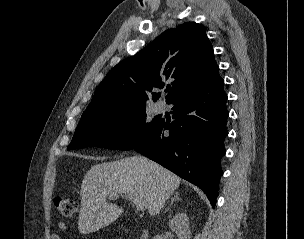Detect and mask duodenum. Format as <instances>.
Returning <instances> with one entry per match:
<instances>
[{"instance_id":"obj_1","label":"duodenum","mask_w":304,"mask_h":239,"mask_svg":"<svg viewBox=\"0 0 304 239\" xmlns=\"http://www.w3.org/2000/svg\"><path fill=\"white\" fill-rule=\"evenodd\" d=\"M142 239H147V234L145 232L142 235Z\"/></svg>"}]
</instances>
